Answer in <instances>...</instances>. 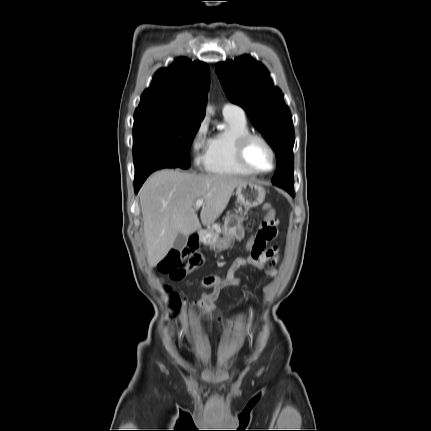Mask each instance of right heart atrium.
Returning a JSON list of instances; mask_svg holds the SVG:
<instances>
[{"instance_id":"right-heart-atrium-1","label":"right heart atrium","mask_w":431,"mask_h":431,"mask_svg":"<svg viewBox=\"0 0 431 431\" xmlns=\"http://www.w3.org/2000/svg\"><path fill=\"white\" fill-rule=\"evenodd\" d=\"M211 139L208 137V127L201 121L193 131L189 140V149L193 165L197 168L205 167L210 150Z\"/></svg>"}]
</instances>
